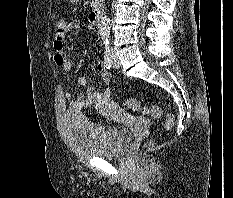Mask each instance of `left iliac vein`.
Returning <instances> with one entry per match:
<instances>
[{"label": "left iliac vein", "mask_w": 233, "mask_h": 198, "mask_svg": "<svg viewBox=\"0 0 233 198\" xmlns=\"http://www.w3.org/2000/svg\"><path fill=\"white\" fill-rule=\"evenodd\" d=\"M112 56H113V67L114 68H119L120 67V61H119L117 55L115 54L114 50H112Z\"/></svg>", "instance_id": "left-iliac-vein-1"}]
</instances>
